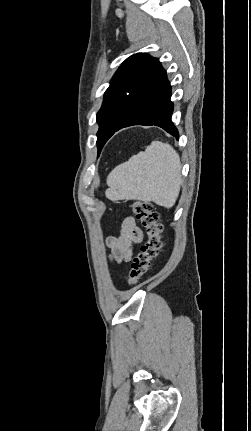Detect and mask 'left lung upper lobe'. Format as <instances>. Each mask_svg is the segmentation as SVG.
<instances>
[{
	"mask_svg": "<svg viewBox=\"0 0 251 431\" xmlns=\"http://www.w3.org/2000/svg\"><path fill=\"white\" fill-rule=\"evenodd\" d=\"M158 59L146 53H137L127 58L114 74L104 94L102 106L97 113L98 153L119 125L133 99L157 64Z\"/></svg>",
	"mask_w": 251,
	"mask_h": 431,
	"instance_id": "left-lung-upper-lobe-1",
	"label": "left lung upper lobe"
}]
</instances>
